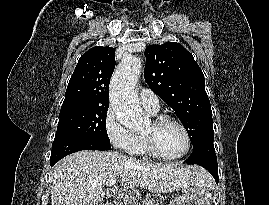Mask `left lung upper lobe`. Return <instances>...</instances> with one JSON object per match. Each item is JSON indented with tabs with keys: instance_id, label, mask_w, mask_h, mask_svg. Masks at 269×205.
<instances>
[{
	"instance_id": "left-lung-upper-lobe-1",
	"label": "left lung upper lobe",
	"mask_w": 269,
	"mask_h": 205,
	"mask_svg": "<svg viewBox=\"0 0 269 205\" xmlns=\"http://www.w3.org/2000/svg\"><path fill=\"white\" fill-rule=\"evenodd\" d=\"M145 56V81L176 112L193 147L214 135L205 78L192 54L179 43L167 42L148 46Z\"/></svg>"
}]
</instances>
